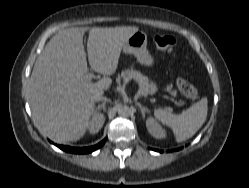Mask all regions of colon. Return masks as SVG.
<instances>
[{
    "mask_svg": "<svg viewBox=\"0 0 249 188\" xmlns=\"http://www.w3.org/2000/svg\"><path fill=\"white\" fill-rule=\"evenodd\" d=\"M152 43L155 47L166 52H173L177 47V41L174 37L168 35H154ZM177 86L184 96L194 98L197 95L196 88L186 79L178 78Z\"/></svg>",
    "mask_w": 249,
    "mask_h": 188,
    "instance_id": "obj_1",
    "label": "colon"
}]
</instances>
